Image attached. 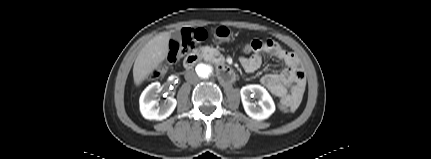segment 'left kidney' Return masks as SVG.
Here are the masks:
<instances>
[{
  "label": "left kidney",
  "mask_w": 431,
  "mask_h": 159,
  "mask_svg": "<svg viewBox=\"0 0 431 159\" xmlns=\"http://www.w3.org/2000/svg\"><path fill=\"white\" fill-rule=\"evenodd\" d=\"M240 94L244 110L251 118L265 120L274 113V101L268 91L261 85H246L241 88ZM250 95L259 99L258 103H251Z\"/></svg>",
  "instance_id": "obj_1"
}]
</instances>
